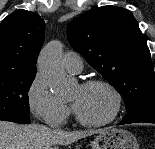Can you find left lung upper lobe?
<instances>
[{
    "instance_id": "left-lung-upper-lobe-1",
    "label": "left lung upper lobe",
    "mask_w": 155,
    "mask_h": 149,
    "mask_svg": "<svg viewBox=\"0 0 155 149\" xmlns=\"http://www.w3.org/2000/svg\"><path fill=\"white\" fill-rule=\"evenodd\" d=\"M70 45L118 90L128 113L155 100L151 54L136 19L127 9L93 8L67 27Z\"/></svg>"
}]
</instances>
